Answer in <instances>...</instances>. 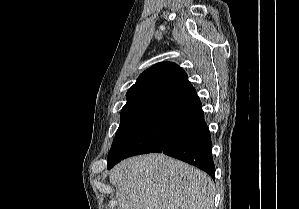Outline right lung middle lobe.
I'll use <instances>...</instances> for the list:
<instances>
[{
	"label": "right lung middle lobe",
	"instance_id": "right-lung-middle-lobe-1",
	"mask_svg": "<svg viewBox=\"0 0 299 209\" xmlns=\"http://www.w3.org/2000/svg\"><path fill=\"white\" fill-rule=\"evenodd\" d=\"M158 105L156 103H139L122 108L121 124L107 156L108 161L113 159L137 133Z\"/></svg>",
	"mask_w": 299,
	"mask_h": 209
}]
</instances>
